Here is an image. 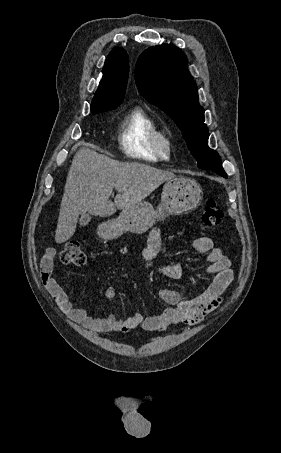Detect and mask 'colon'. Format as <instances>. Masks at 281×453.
<instances>
[{
    "label": "colon",
    "instance_id": "colon-1",
    "mask_svg": "<svg viewBox=\"0 0 281 453\" xmlns=\"http://www.w3.org/2000/svg\"><path fill=\"white\" fill-rule=\"evenodd\" d=\"M225 214L214 199H207L203 204L201 227L205 230L222 226L225 223ZM62 262H85L87 253L80 247L78 240L69 238L65 241L60 254Z\"/></svg>",
    "mask_w": 281,
    "mask_h": 453
}]
</instances>
